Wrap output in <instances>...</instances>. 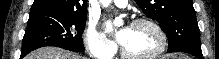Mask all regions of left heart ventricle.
Returning a JSON list of instances; mask_svg holds the SVG:
<instances>
[{"label":"left heart ventricle","instance_id":"1","mask_svg":"<svg viewBox=\"0 0 219 59\" xmlns=\"http://www.w3.org/2000/svg\"><path fill=\"white\" fill-rule=\"evenodd\" d=\"M159 45L157 33L148 25L130 26L129 32L122 43L127 52L133 55H146L153 52Z\"/></svg>","mask_w":219,"mask_h":59}]
</instances>
